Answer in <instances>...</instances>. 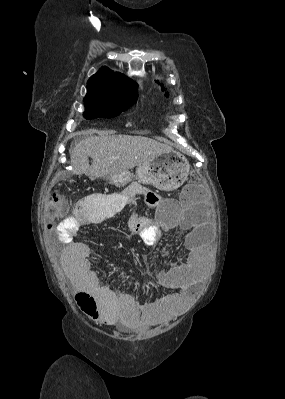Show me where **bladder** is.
Instances as JSON below:
<instances>
[{
  "label": "bladder",
  "mask_w": 285,
  "mask_h": 399,
  "mask_svg": "<svg viewBox=\"0 0 285 399\" xmlns=\"http://www.w3.org/2000/svg\"><path fill=\"white\" fill-rule=\"evenodd\" d=\"M119 325H120V329L123 331H130V330L135 329L134 326H132L126 322H120Z\"/></svg>",
  "instance_id": "1"
}]
</instances>
